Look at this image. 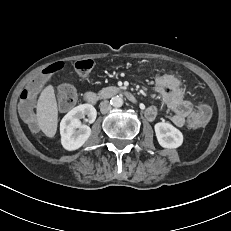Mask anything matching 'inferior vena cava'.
Returning <instances> with one entry per match:
<instances>
[{"mask_svg":"<svg viewBox=\"0 0 231 231\" xmlns=\"http://www.w3.org/2000/svg\"><path fill=\"white\" fill-rule=\"evenodd\" d=\"M111 110V104L105 100L100 103V111L102 114H106Z\"/></svg>","mask_w":231,"mask_h":231,"instance_id":"1","label":"inferior vena cava"}]
</instances>
